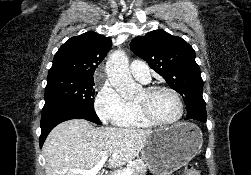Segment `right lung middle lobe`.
I'll return each mask as SVG.
<instances>
[{
    "mask_svg": "<svg viewBox=\"0 0 251 175\" xmlns=\"http://www.w3.org/2000/svg\"><path fill=\"white\" fill-rule=\"evenodd\" d=\"M94 81L66 77L47 78L45 104L64 103L94 109Z\"/></svg>",
    "mask_w": 251,
    "mask_h": 175,
    "instance_id": "1",
    "label": "right lung middle lobe"
}]
</instances>
